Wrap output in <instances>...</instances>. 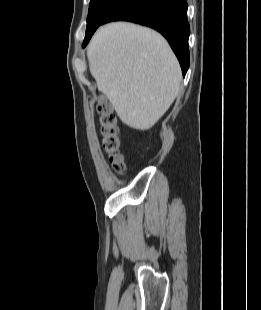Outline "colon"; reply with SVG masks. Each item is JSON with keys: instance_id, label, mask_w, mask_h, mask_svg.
Wrapping results in <instances>:
<instances>
[{"instance_id": "obj_1", "label": "colon", "mask_w": 261, "mask_h": 310, "mask_svg": "<svg viewBox=\"0 0 261 310\" xmlns=\"http://www.w3.org/2000/svg\"><path fill=\"white\" fill-rule=\"evenodd\" d=\"M98 111L100 113L99 121L103 147L114 169L123 173L125 165L123 156L119 151V127L113 115L112 107L108 102L102 99L99 103Z\"/></svg>"}]
</instances>
